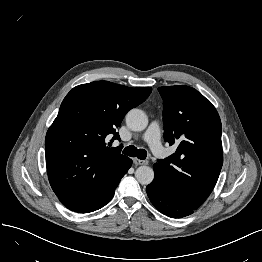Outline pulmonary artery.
Segmentation results:
<instances>
[{"mask_svg": "<svg viewBox=\"0 0 262 262\" xmlns=\"http://www.w3.org/2000/svg\"><path fill=\"white\" fill-rule=\"evenodd\" d=\"M143 140L150 146L152 152L158 157H164V147L160 141L159 123L153 121L143 135Z\"/></svg>", "mask_w": 262, "mask_h": 262, "instance_id": "pulmonary-artery-1", "label": "pulmonary artery"}]
</instances>
